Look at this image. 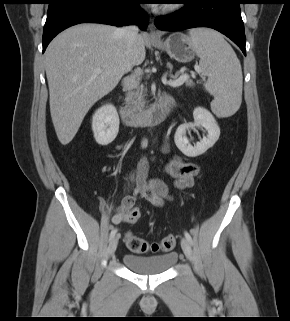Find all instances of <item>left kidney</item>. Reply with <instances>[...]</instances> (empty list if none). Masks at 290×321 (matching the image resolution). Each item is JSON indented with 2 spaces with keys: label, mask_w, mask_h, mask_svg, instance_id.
<instances>
[{
  "label": "left kidney",
  "mask_w": 290,
  "mask_h": 321,
  "mask_svg": "<svg viewBox=\"0 0 290 321\" xmlns=\"http://www.w3.org/2000/svg\"><path fill=\"white\" fill-rule=\"evenodd\" d=\"M193 117L194 123L180 125L174 136L176 146L188 157H196L205 153L216 143L220 136V128L214 116L207 109L203 107L195 108ZM195 127H203L207 131V136L193 146L186 137V130Z\"/></svg>",
  "instance_id": "left-kidney-1"
}]
</instances>
